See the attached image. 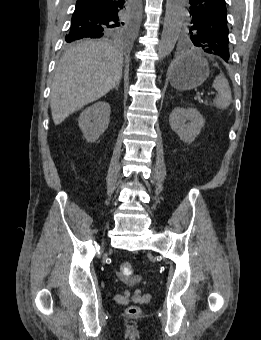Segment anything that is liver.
Here are the masks:
<instances>
[{
	"label": "liver",
	"instance_id": "obj_1",
	"mask_svg": "<svg viewBox=\"0 0 261 340\" xmlns=\"http://www.w3.org/2000/svg\"><path fill=\"white\" fill-rule=\"evenodd\" d=\"M123 55L102 41H84L61 58L51 87L55 125L113 89L122 78Z\"/></svg>",
	"mask_w": 261,
	"mask_h": 340
}]
</instances>
